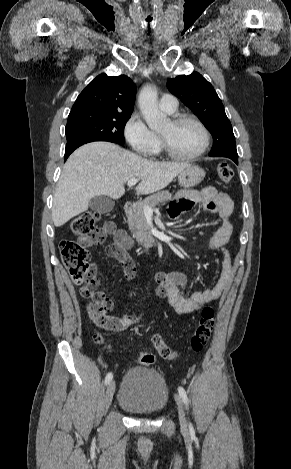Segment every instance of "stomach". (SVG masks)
<instances>
[{
	"mask_svg": "<svg viewBox=\"0 0 291 469\" xmlns=\"http://www.w3.org/2000/svg\"><path fill=\"white\" fill-rule=\"evenodd\" d=\"M205 171L197 165H189L178 174V181L184 188L198 185L204 178Z\"/></svg>",
	"mask_w": 291,
	"mask_h": 469,
	"instance_id": "obj_1",
	"label": "stomach"
}]
</instances>
